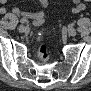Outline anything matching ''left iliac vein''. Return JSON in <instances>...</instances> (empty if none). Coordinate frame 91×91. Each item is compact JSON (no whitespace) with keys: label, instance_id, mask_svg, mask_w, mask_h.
Listing matches in <instances>:
<instances>
[{"label":"left iliac vein","instance_id":"4c4485c4","mask_svg":"<svg viewBox=\"0 0 91 91\" xmlns=\"http://www.w3.org/2000/svg\"><path fill=\"white\" fill-rule=\"evenodd\" d=\"M66 31L67 33L70 35V36H76L77 32L76 30L73 28V29H70L69 26L66 27Z\"/></svg>","mask_w":91,"mask_h":91}]
</instances>
